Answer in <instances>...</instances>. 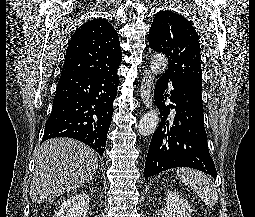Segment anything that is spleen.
<instances>
[{
	"instance_id": "spleen-1",
	"label": "spleen",
	"mask_w": 255,
	"mask_h": 217,
	"mask_svg": "<svg viewBox=\"0 0 255 217\" xmlns=\"http://www.w3.org/2000/svg\"><path fill=\"white\" fill-rule=\"evenodd\" d=\"M176 173L179 179L189 186L206 205L213 206L217 202L216 186L206 174L190 168H178Z\"/></svg>"
}]
</instances>
